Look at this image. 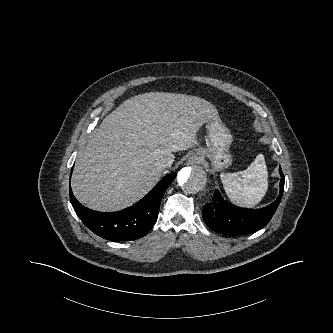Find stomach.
<instances>
[{
    "mask_svg": "<svg viewBox=\"0 0 333 333\" xmlns=\"http://www.w3.org/2000/svg\"><path fill=\"white\" fill-rule=\"evenodd\" d=\"M208 142L206 148H201L203 156L210 158L211 163L216 170L228 167L232 162L228 147L232 142V135L222 124L221 120L213 121L207 124Z\"/></svg>",
    "mask_w": 333,
    "mask_h": 333,
    "instance_id": "0dacf381",
    "label": "stomach"
}]
</instances>
